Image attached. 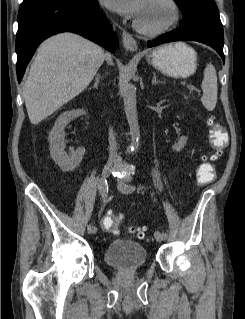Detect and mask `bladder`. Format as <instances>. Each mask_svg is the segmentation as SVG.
<instances>
[{
	"label": "bladder",
	"instance_id": "31cf9c89",
	"mask_svg": "<svg viewBox=\"0 0 245 319\" xmlns=\"http://www.w3.org/2000/svg\"><path fill=\"white\" fill-rule=\"evenodd\" d=\"M104 259L110 266L135 268L147 262V252L145 247L138 242L115 239L107 245Z\"/></svg>",
	"mask_w": 245,
	"mask_h": 319
}]
</instances>
